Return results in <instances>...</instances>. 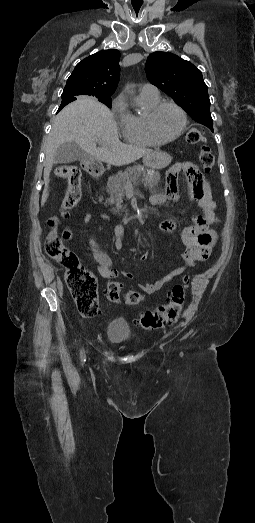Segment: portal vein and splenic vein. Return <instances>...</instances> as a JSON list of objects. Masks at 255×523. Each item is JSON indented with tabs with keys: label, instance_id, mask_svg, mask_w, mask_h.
I'll list each match as a JSON object with an SVG mask.
<instances>
[{
	"label": "portal vein and splenic vein",
	"instance_id": "portal-vein-and-splenic-vein-1",
	"mask_svg": "<svg viewBox=\"0 0 255 523\" xmlns=\"http://www.w3.org/2000/svg\"><path fill=\"white\" fill-rule=\"evenodd\" d=\"M138 183H141V180H136V182H127L125 186V195L127 197H133L135 195L134 187H138Z\"/></svg>",
	"mask_w": 255,
	"mask_h": 523
}]
</instances>
